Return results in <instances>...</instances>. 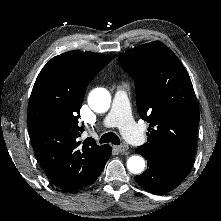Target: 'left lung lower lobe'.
I'll return each mask as SVG.
<instances>
[{
    "instance_id": "obj_1",
    "label": "left lung lower lobe",
    "mask_w": 221,
    "mask_h": 221,
    "mask_svg": "<svg viewBox=\"0 0 221 221\" xmlns=\"http://www.w3.org/2000/svg\"><path fill=\"white\" fill-rule=\"evenodd\" d=\"M141 154L148 162L147 169L135 177L136 182L148 191L164 194L175 189L188 175L192 162H186L160 155L148 156L140 149Z\"/></svg>"
}]
</instances>
